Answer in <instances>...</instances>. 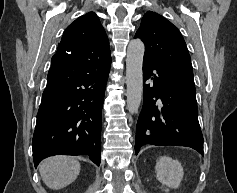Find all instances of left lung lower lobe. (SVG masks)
Here are the masks:
<instances>
[{
    "mask_svg": "<svg viewBox=\"0 0 237 193\" xmlns=\"http://www.w3.org/2000/svg\"><path fill=\"white\" fill-rule=\"evenodd\" d=\"M155 70V74H153ZM143 107L136 126L135 153L145 144L187 146L203 155L194 79L143 60Z\"/></svg>",
    "mask_w": 237,
    "mask_h": 193,
    "instance_id": "0a47b994",
    "label": "left lung lower lobe"
}]
</instances>
